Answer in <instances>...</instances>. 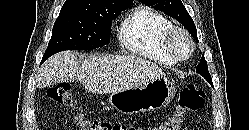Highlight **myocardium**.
<instances>
[{
	"mask_svg": "<svg viewBox=\"0 0 249 130\" xmlns=\"http://www.w3.org/2000/svg\"><path fill=\"white\" fill-rule=\"evenodd\" d=\"M182 36L184 37L190 47L189 53L182 57L178 55L174 49V43L175 40L179 37ZM162 46L164 52L175 62H182L188 60L194 53L195 51V43L190 35V33L179 26H172L164 35L163 41H162Z\"/></svg>",
	"mask_w": 249,
	"mask_h": 130,
	"instance_id": "1",
	"label": "myocardium"
}]
</instances>
